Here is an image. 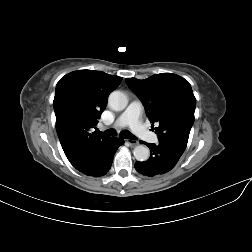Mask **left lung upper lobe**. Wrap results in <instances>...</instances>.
I'll return each mask as SVG.
<instances>
[{"label":"left lung upper lobe","mask_w":252,"mask_h":252,"mask_svg":"<svg viewBox=\"0 0 252 252\" xmlns=\"http://www.w3.org/2000/svg\"><path fill=\"white\" fill-rule=\"evenodd\" d=\"M126 83L143 103L159 141L185 149L196 106L189 82L176 74L161 73L144 80L126 78Z\"/></svg>","instance_id":"5c2ea615"}]
</instances>
